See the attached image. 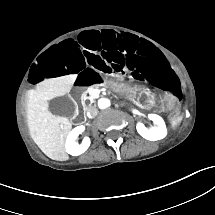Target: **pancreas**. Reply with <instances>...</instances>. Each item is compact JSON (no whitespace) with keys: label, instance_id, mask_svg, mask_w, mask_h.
Instances as JSON below:
<instances>
[{"label":"pancreas","instance_id":"pancreas-1","mask_svg":"<svg viewBox=\"0 0 215 215\" xmlns=\"http://www.w3.org/2000/svg\"><path fill=\"white\" fill-rule=\"evenodd\" d=\"M98 88V86L94 85V86H90L85 92L84 95L87 96V99L90 101V103H93L95 99H97L99 97V95H96L93 93V90ZM112 90L114 92H119L117 90V88L115 87V84H113L112 86Z\"/></svg>","mask_w":215,"mask_h":215}]
</instances>
